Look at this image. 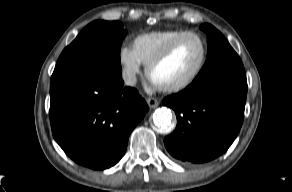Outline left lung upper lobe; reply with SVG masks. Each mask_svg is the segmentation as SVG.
<instances>
[{"instance_id":"5c2ea615","label":"left lung upper lobe","mask_w":292,"mask_h":192,"mask_svg":"<svg viewBox=\"0 0 292 192\" xmlns=\"http://www.w3.org/2000/svg\"><path fill=\"white\" fill-rule=\"evenodd\" d=\"M207 34V61L194 81L224 74H245L241 59L225 37L212 25L200 27Z\"/></svg>"}]
</instances>
